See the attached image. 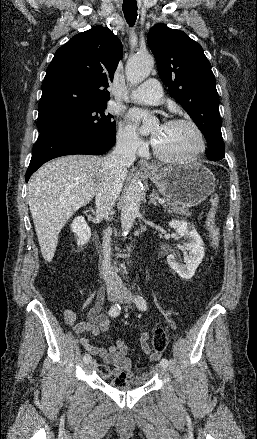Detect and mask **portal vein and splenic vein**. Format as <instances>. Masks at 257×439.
<instances>
[{
	"instance_id": "18ae733b",
	"label": "portal vein and splenic vein",
	"mask_w": 257,
	"mask_h": 439,
	"mask_svg": "<svg viewBox=\"0 0 257 439\" xmlns=\"http://www.w3.org/2000/svg\"><path fill=\"white\" fill-rule=\"evenodd\" d=\"M158 202H159L160 204H164V203L166 202V200H165V199H159Z\"/></svg>"
}]
</instances>
